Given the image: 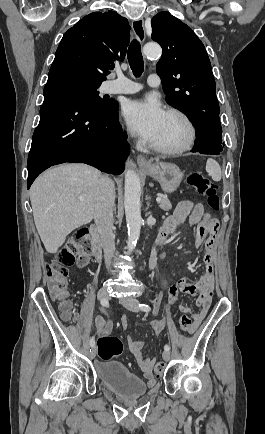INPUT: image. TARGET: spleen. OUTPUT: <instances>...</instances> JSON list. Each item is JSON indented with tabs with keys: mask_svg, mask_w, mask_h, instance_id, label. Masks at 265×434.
<instances>
[{
	"mask_svg": "<svg viewBox=\"0 0 265 434\" xmlns=\"http://www.w3.org/2000/svg\"><path fill=\"white\" fill-rule=\"evenodd\" d=\"M206 172L210 174L212 180L214 182H220L221 180V168L218 164V162H215V160H212V158H208L206 162Z\"/></svg>",
	"mask_w": 265,
	"mask_h": 434,
	"instance_id": "3e777b00",
	"label": "spleen"
}]
</instances>
